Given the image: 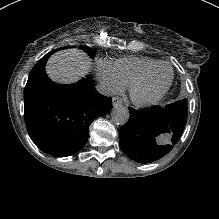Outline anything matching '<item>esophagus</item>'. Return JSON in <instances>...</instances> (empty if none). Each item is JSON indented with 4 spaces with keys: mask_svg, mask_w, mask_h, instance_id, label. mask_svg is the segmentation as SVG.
I'll list each match as a JSON object with an SVG mask.
<instances>
[{
    "mask_svg": "<svg viewBox=\"0 0 219 219\" xmlns=\"http://www.w3.org/2000/svg\"><path fill=\"white\" fill-rule=\"evenodd\" d=\"M120 103H122V99L120 97L116 96V97L112 98V104L113 105L120 104Z\"/></svg>",
    "mask_w": 219,
    "mask_h": 219,
    "instance_id": "34e87169",
    "label": "esophagus"
}]
</instances>
